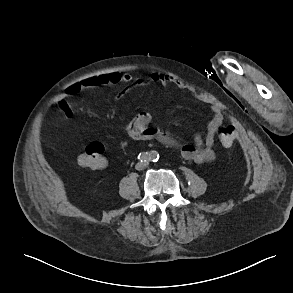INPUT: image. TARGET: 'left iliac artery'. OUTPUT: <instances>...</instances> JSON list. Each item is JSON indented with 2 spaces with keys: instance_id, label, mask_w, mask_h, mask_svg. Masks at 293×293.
Segmentation results:
<instances>
[{
  "instance_id": "obj_1",
  "label": "left iliac artery",
  "mask_w": 293,
  "mask_h": 293,
  "mask_svg": "<svg viewBox=\"0 0 293 293\" xmlns=\"http://www.w3.org/2000/svg\"><path fill=\"white\" fill-rule=\"evenodd\" d=\"M150 159H151L153 162L158 161V159H159V154H158V152H156V151H152V152H151V157H150Z\"/></svg>"
}]
</instances>
